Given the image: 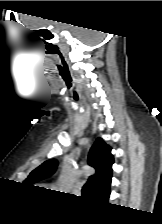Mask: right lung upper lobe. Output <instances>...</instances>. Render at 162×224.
Wrapping results in <instances>:
<instances>
[{
  "label": "right lung upper lobe",
  "instance_id": "1",
  "mask_svg": "<svg viewBox=\"0 0 162 224\" xmlns=\"http://www.w3.org/2000/svg\"><path fill=\"white\" fill-rule=\"evenodd\" d=\"M113 162L111 148L101 138H98L88 156V164L96 170L95 174L90 176L88 180L92 197L100 199L110 192ZM57 165L56 159L45 161L30 173L25 182L33 184L49 177L54 173Z\"/></svg>",
  "mask_w": 162,
  "mask_h": 224
}]
</instances>
